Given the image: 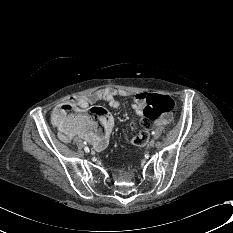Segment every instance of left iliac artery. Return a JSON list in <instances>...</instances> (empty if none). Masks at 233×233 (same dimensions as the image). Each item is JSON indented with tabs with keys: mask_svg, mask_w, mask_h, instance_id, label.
Segmentation results:
<instances>
[{
	"mask_svg": "<svg viewBox=\"0 0 233 233\" xmlns=\"http://www.w3.org/2000/svg\"><path fill=\"white\" fill-rule=\"evenodd\" d=\"M152 135H155V132H154V131L152 132Z\"/></svg>",
	"mask_w": 233,
	"mask_h": 233,
	"instance_id": "obj_1",
	"label": "left iliac artery"
}]
</instances>
